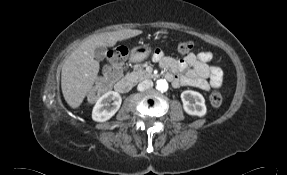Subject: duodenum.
<instances>
[{"label": "duodenum", "instance_id": "410a0bca", "mask_svg": "<svg viewBox=\"0 0 287 175\" xmlns=\"http://www.w3.org/2000/svg\"><path fill=\"white\" fill-rule=\"evenodd\" d=\"M113 75H114V73L113 74L112 73L107 74V78L109 81H113L112 80ZM166 79L171 81L169 74L166 75ZM132 85H133V83H132V80L130 78H123V79H120L116 82V89L119 92H128L131 90Z\"/></svg>", "mask_w": 287, "mask_h": 175}]
</instances>
